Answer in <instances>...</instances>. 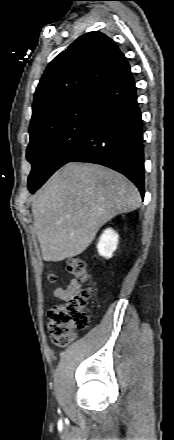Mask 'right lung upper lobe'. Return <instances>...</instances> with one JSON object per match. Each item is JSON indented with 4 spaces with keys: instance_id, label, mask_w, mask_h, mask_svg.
Listing matches in <instances>:
<instances>
[{
    "instance_id": "1",
    "label": "right lung upper lobe",
    "mask_w": 174,
    "mask_h": 440,
    "mask_svg": "<svg viewBox=\"0 0 174 440\" xmlns=\"http://www.w3.org/2000/svg\"><path fill=\"white\" fill-rule=\"evenodd\" d=\"M130 71L115 42L94 31L80 36L47 66L35 91L31 124Z\"/></svg>"
}]
</instances>
